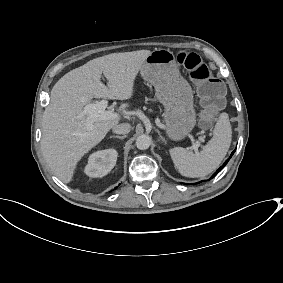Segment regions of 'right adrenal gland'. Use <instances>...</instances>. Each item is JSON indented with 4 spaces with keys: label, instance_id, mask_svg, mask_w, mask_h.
Here are the masks:
<instances>
[{
    "label": "right adrenal gland",
    "instance_id": "2a0ac1e0",
    "mask_svg": "<svg viewBox=\"0 0 283 283\" xmlns=\"http://www.w3.org/2000/svg\"><path fill=\"white\" fill-rule=\"evenodd\" d=\"M114 137L119 138V139H124V138L127 137V134H125V135H123V136H119V135H111V136H110V138H114Z\"/></svg>",
    "mask_w": 283,
    "mask_h": 283
}]
</instances>
